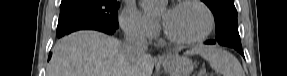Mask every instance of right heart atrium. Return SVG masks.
I'll return each mask as SVG.
<instances>
[{
  "mask_svg": "<svg viewBox=\"0 0 287 76\" xmlns=\"http://www.w3.org/2000/svg\"><path fill=\"white\" fill-rule=\"evenodd\" d=\"M121 25L131 36L140 39H153L159 33L158 22L144 13L134 5H128L122 12Z\"/></svg>",
  "mask_w": 287,
  "mask_h": 76,
  "instance_id": "obj_1",
  "label": "right heart atrium"
}]
</instances>
